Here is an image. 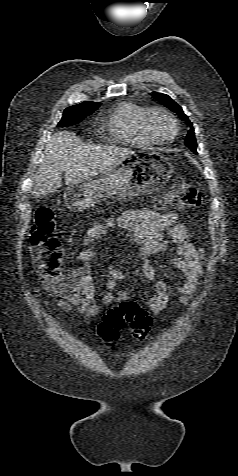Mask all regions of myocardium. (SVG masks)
Returning a JSON list of instances; mask_svg holds the SVG:
<instances>
[{"label":"myocardium","mask_w":238,"mask_h":476,"mask_svg":"<svg viewBox=\"0 0 238 476\" xmlns=\"http://www.w3.org/2000/svg\"><path fill=\"white\" fill-rule=\"evenodd\" d=\"M156 113H162L163 115L168 117L170 119V121L172 122V124H173V134L169 139H166V140L159 139L154 134V132L152 131L150 121H151V117ZM141 123H142V129H143L145 135L148 137V139L152 143H155V144H160V145L169 144L178 135V131H179L178 120L168 109H166L162 106H152V107L146 109V111L144 112V114L142 116Z\"/></svg>","instance_id":"1"}]
</instances>
